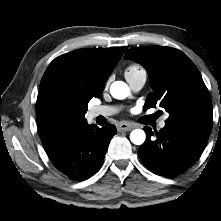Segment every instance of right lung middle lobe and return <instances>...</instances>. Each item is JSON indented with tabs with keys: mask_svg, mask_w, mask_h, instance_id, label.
Masks as SVG:
<instances>
[{
	"mask_svg": "<svg viewBox=\"0 0 221 221\" xmlns=\"http://www.w3.org/2000/svg\"><path fill=\"white\" fill-rule=\"evenodd\" d=\"M90 99L81 80L54 86L46 98L50 122L61 130H74L80 125Z\"/></svg>",
	"mask_w": 221,
	"mask_h": 221,
	"instance_id": "obj_1",
	"label": "right lung middle lobe"
}]
</instances>
